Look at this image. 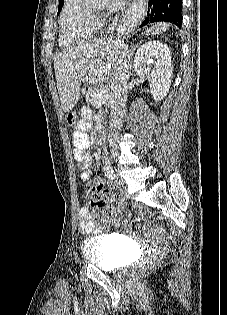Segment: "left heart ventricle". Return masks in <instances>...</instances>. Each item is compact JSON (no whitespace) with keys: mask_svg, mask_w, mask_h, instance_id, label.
Instances as JSON below:
<instances>
[{"mask_svg":"<svg viewBox=\"0 0 227 315\" xmlns=\"http://www.w3.org/2000/svg\"><path fill=\"white\" fill-rule=\"evenodd\" d=\"M91 10H93V11H95V12H97V11H98V9H97V8H95V7H91Z\"/></svg>","mask_w":227,"mask_h":315,"instance_id":"1","label":"left heart ventricle"}]
</instances>
